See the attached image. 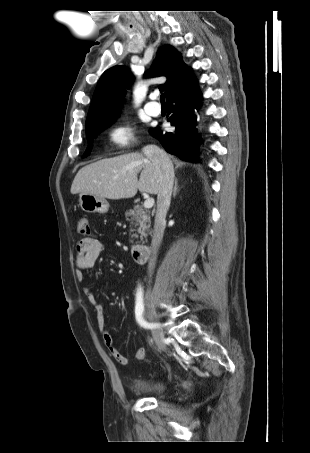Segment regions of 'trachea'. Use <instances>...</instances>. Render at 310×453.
I'll return each instance as SVG.
<instances>
[{"instance_id":"trachea-1","label":"trachea","mask_w":310,"mask_h":453,"mask_svg":"<svg viewBox=\"0 0 310 453\" xmlns=\"http://www.w3.org/2000/svg\"><path fill=\"white\" fill-rule=\"evenodd\" d=\"M160 102L162 105H165V97H164V94H161L160 95Z\"/></svg>"}]
</instances>
